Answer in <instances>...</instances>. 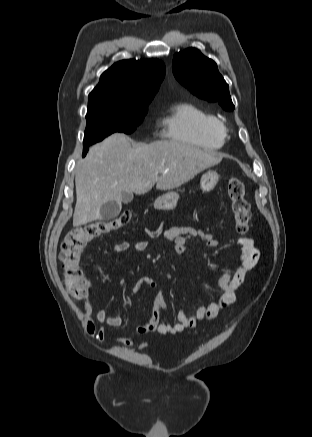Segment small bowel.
I'll list each match as a JSON object with an SVG mask.
<instances>
[{"label": "small bowel", "mask_w": 312, "mask_h": 437, "mask_svg": "<svg viewBox=\"0 0 312 437\" xmlns=\"http://www.w3.org/2000/svg\"><path fill=\"white\" fill-rule=\"evenodd\" d=\"M164 236L173 244L175 251L178 253H183L186 250L189 241L209 248H217L220 245L219 240L213 234L192 226L171 227L165 231ZM238 242L241 245L239 265L231 273H226L219 278L218 283L222 293L216 301L207 306H199L192 316L188 315L185 310H179L177 322L169 324L160 321V311L166 309V302L164 295L159 293L153 301L151 314L148 317H144L143 322L133 327V330L138 334L176 335L187 328L196 327L203 320L215 318L221 311L233 304L236 290L241 285L246 274L255 267L260 258V252L252 239L243 237ZM147 245V242L144 240H138L134 243L121 241L113 246V252L124 253L129 249L142 252L146 250ZM142 285L155 288L157 283L150 277H142L132 287L133 292H138ZM93 314L94 303L89 299L83 308V319L86 333L90 338L96 339L103 344L112 341L126 347L136 346L141 349L148 347L149 343L147 341L135 343L129 337L108 333L105 326L113 328L121 327L123 323L121 317L109 315L105 310L100 309L95 313V319L102 324L98 328L94 322Z\"/></svg>", "instance_id": "c3829d8e"}]
</instances>
